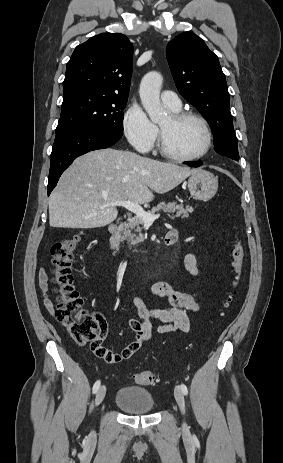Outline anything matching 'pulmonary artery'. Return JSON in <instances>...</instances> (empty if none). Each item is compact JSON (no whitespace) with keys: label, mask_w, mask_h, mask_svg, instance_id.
<instances>
[{"label":"pulmonary artery","mask_w":283,"mask_h":463,"mask_svg":"<svg viewBox=\"0 0 283 463\" xmlns=\"http://www.w3.org/2000/svg\"><path fill=\"white\" fill-rule=\"evenodd\" d=\"M162 102L170 109H180L181 101L177 94L170 90H165L161 93Z\"/></svg>","instance_id":"obj_1"}]
</instances>
